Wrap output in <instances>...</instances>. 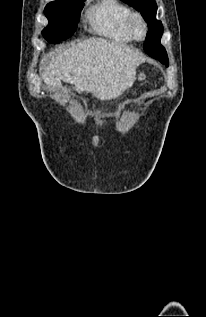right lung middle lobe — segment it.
Wrapping results in <instances>:
<instances>
[{
  "label": "right lung middle lobe",
  "instance_id": "obj_1",
  "mask_svg": "<svg viewBox=\"0 0 206 317\" xmlns=\"http://www.w3.org/2000/svg\"><path fill=\"white\" fill-rule=\"evenodd\" d=\"M84 0H57L47 4L44 14L49 24L42 31L50 43L69 38L76 30Z\"/></svg>",
  "mask_w": 206,
  "mask_h": 317
}]
</instances>
